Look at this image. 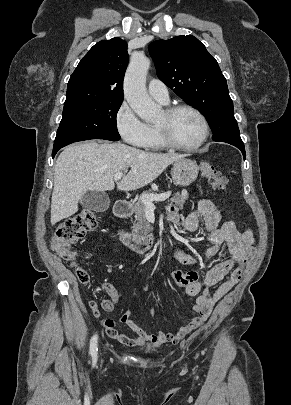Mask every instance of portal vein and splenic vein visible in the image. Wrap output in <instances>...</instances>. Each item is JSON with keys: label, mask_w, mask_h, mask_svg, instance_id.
I'll list each match as a JSON object with an SVG mask.
<instances>
[{"label": "portal vein and splenic vein", "mask_w": 291, "mask_h": 405, "mask_svg": "<svg viewBox=\"0 0 291 405\" xmlns=\"http://www.w3.org/2000/svg\"><path fill=\"white\" fill-rule=\"evenodd\" d=\"M122 176H123V173L118 172L115 174L114 180L117 182L122 178ZM170 195H171L170 191L162 193V194H144L141 196V200L146 206H154L153 201H156V202L164 201V200L168 199L170 197Z\"/></svg>", "instance_id": "portal-vein-and-splenic-vein-1"}]
</instances>
